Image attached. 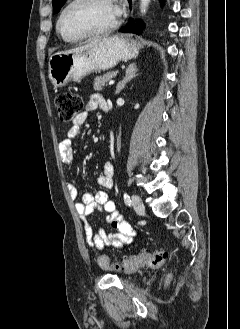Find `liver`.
I'll return each instance as SVG.
<instances>
[{
	"label": "liver",
	"mask_w": 240,
	"mask_h": 329,
	"mask_svg": "<svg viewBox=\"0 0 240 329\" xmlns=\"http://www.w3.org/2000/svg\"><path fill=\"white\" fill-rule=\"evenodd\" d=\"M105 38H107V37L91 38L84 45H82L80 47H76V48L65 50V51H60V52H57L56 54H71V53L83 52V51H86V50L94 47L98 42H100L101 40H103Z\"/></svg>",
	"instance_id": "liver-1"
}]
</instances>
